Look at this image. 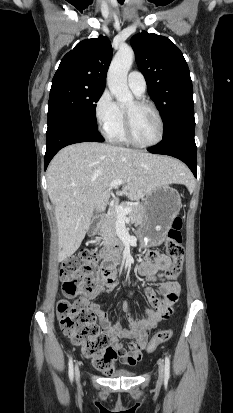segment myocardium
Returning <instances> with one entry per match:
<instances>
[{
  "mask_svg": "<svg viewBox=\"0 0 233 413\" xmlns=\"http://www.w3.org/2000/svg\"><path fill=\"white\" fill-rule=\"evenodd\" d=\"M134 103L137 107H147V108H150L154 112L159 122V127H160L159 135H158V138L154 142H151V143H141L138 140H136L133 134L131 113L125 109L124 110V129H125V135H126L127 141L130 144L136 147H139V148H151V147L157 146L158 144L162 142V140L164 139V135H165V123H164L163 117L159 109L152 102H149L143 99L135 100Z\"/></svg>",
  "mask_w": 233,
  "mask_h": 413,
  "instance_id": "myocardium-1",
  "label": "myocardium"
}]
</instances>
